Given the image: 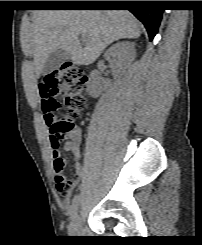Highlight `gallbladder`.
Listing matches in <instances>:
<instances>
[{
  "label": "gallbladder",
  "mask_w": 202,
  "mask_h": 245,
  "mask_svg": "<svg viewBox=\"0 0 202 245\" xmlns=\"http://www.w3.org/2000/svg\"><path fill=\"white\" fill-rule=\"evenodd\" d=\"M68 59H70V54L64 50L58 49L51 53L46 59L42 72L49 74L58 69Z\"/></svg>",
  "instance_id": "gallbladder-1"
}]
</instances>
